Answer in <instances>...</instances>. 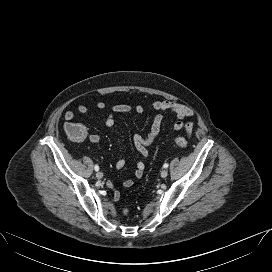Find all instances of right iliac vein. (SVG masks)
<instances>
[{
	"mask_svg": "<svg viewBox=\"0 0 272 272\" xmlns=\"http://www.w3.org/2000/svg\"><path fill=\"white\" fill-rule=\"evenodd\" d=\"M96 177H97V179H102V178H103V173L100 172V171H98V172L96 173Z\"/></svg>",
	"mask_w": 272,
	"mask_h": 272,
	"instance_id": "right-iliac-vein-1",
	"label": "right iliac vein"
}]
</instances>
